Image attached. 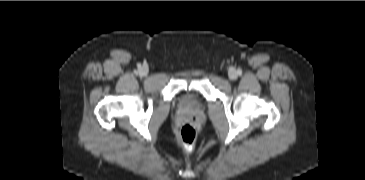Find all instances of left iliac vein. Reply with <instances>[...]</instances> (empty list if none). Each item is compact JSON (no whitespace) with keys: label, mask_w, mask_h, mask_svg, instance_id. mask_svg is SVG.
<instances>
[{"label":"left iliac vein","mask_w":365,"mask_h":180,"mask_svg":"<svg viewBox=\"0 0 365 180\" xmlns=\"http://www.w3.org/2000/svg\"><path fill=\"white\" fill-rule=\"evenodd\" d=\"M228 76H229V79H230V80H235V79L237 78L238 74H237L236 70L231 69V70L229 71Z\"/></svg>","instance_id":"1"}]
</instances>
